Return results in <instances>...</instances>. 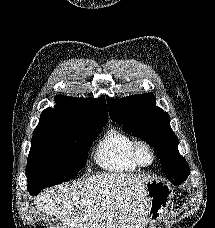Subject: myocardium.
I'll list each match as a JSON object with an SVG mask.
<instances>
[{"label": "myocardium", "instance_id": "myocardium-1", "mask_svg": "<svg viewBox=\"0 0 215 228\" xmlns=\"http://www.w3.org/2000/svg\"><path fill=\"white\" fill-rule=\"evenodd\" d=\"M143 150L147 151L151 156V161L149 163H144L141 160V152ZM131 157L135 165L140 168L152 167L157 160V154L155 149L149 142L144 140H138L133 144L131 149Z\"/></svg>", "mask_w": 215, "mask_h": 228}]
</instances>
